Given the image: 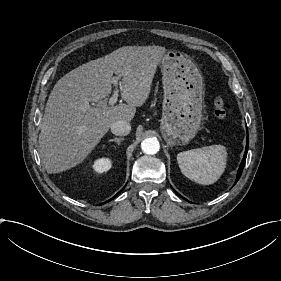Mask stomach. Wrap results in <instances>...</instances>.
Masks as SVG:
<instances>
[{
    "label": "stomach",
    "mask_w": 281,
    "mask_h": 281,
    "mask_svg": "<svg viewBox=\"0 0 281 281\" xmlns=\"http://www.w3.org/2000/svg\"><path fill=\"white\" fill-rule=\"evenodd\" d=\"M164 90L162 130L170 145H185L198 132L204 118V80L198 66L179 50L160 58Z\"/></svg>",
    "instance_id": "0dacf381"
}]
</instances>
